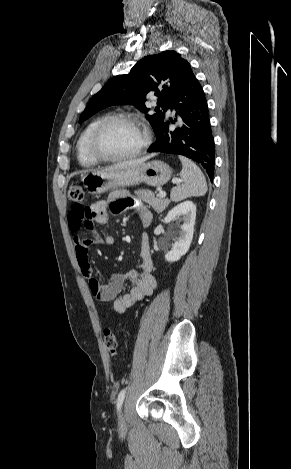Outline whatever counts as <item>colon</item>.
<instances>
[{
    "mask_svg": "<svg viewBox=\"0 0 291 469\" xmlns=\"http://www.w3.org/2000/svg\"><path fill=\"white\" fill-rule=\"evenodd\" d=\"M68 197L70 201L75 203L74 207L77 209V211L81 213L88 212V208H85L81 204V202L84 199V190L80 185L73 184L69 189ZM104 344H105L107 351L110 354L114 355L117 352V348H118L117 337L115 333L110 329H106L104 331Z\"/></svg>",
    "mask_w": 291,
    "mask_h": 469,
    "instance_id": "colon-1",
    "label": "colon"
}]
</instances>
